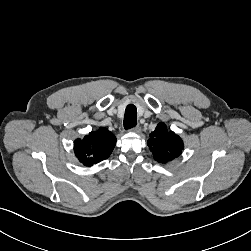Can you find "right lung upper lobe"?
<instances>
[{
  "mask_svg": "<svg viewBox=\"0 0 251 251\" xmlns=\"http://www.w3.org/2000/svg\"><path fill=\"white\" fill-rule=\"evenodd\" d=\"M116 144V137L106 128L92 131L83 139H76L74 151L78 160L85 166H92L107 159Z\"/></svg>",
  "mask_w": 251,
  "mask_h": 251,
  "instance_id": "obj_1",
  "label": "right lung upper lobe"
}]
</instances>
